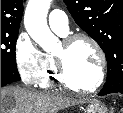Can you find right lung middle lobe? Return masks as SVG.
Listing matches in <instances>:
<instances>
[{
    "label": "right lung middle lobe",
    "mask_w": 123,
    "mask_h": 113,
    "mask_svg": "<svg viewBox=\"0 0 123 113\" xmlns=\"http://www.w3.org/2000/svg\"><path fill=\"white\" fill-rule=\"evenodd\" d=\"M19 31L1 32V84L20 80L15 48Z\"/></svg>",
    "instance_id": "dd1d6c3e"
}]
</instances>
